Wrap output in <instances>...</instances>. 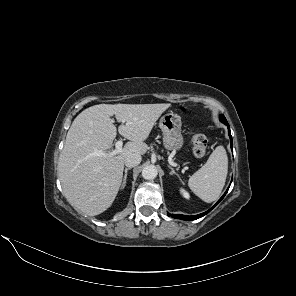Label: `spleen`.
<instances>
[{
    "instance_id": "1",
    "label": "spleen",
    "mask_w": 296,
    "mask_h": 296,
    "mask_svg": "<svg viewBox=\"0 0 296 296\" xmlns=\"http://www.w3.org/2000/svg\"><path fill=\"white\" fill-rule=\"evenodd\" d=\"M228 158L223 146H217L207 162L188 180V186L200 199L211 203L218 199L225 185Z\"/></svg>"
}]
</instances>
